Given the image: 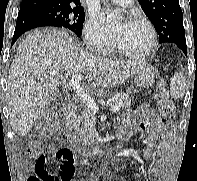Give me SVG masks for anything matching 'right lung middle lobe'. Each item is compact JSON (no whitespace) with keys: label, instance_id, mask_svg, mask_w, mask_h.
Returning <instances> with one entry per match:
<instances>
[{"label":"right lung middle lobe","instance_id":"right-lung-middle-lobe-1","mask_svg":"<svg viewBox=\"0 0 197 181\" xmlns=\"http://www.w3.org/2000/svg\"><path fill=\"white\" fill-rule=\"evenodd\" d=\"M27 10L43 14L58 23V27H65L81 36L85 13L82 7L57 6L49 4H37Z\"/></svg>","mask_w":197,"mask_h":181}]
</instances>
